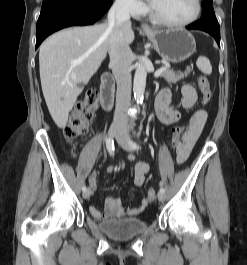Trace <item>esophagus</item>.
Returning <instances> with one entry per match:
<instances>
[{
    "mask_svg": "<svg viewBox=\"0 0 247 265\" xmlns=\"http://www.w3.org/2000/svg\"><path fill=\"white\" fill-rule=\"evenodd\" d=\"M141 29L143 31H146V32L152 30L151 27L148 24H145V23L141 24Z\"/></svg>",
    "mask_w": 247,
    "mask_h": 265,
    "instance_id": "1",
    "label": "esophagus"
}]
</instances>
